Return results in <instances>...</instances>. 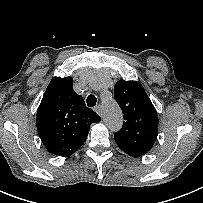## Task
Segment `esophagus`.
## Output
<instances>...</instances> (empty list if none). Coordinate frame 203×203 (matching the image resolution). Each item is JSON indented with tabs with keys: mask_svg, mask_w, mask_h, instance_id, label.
Returning <instances> with one entry per match:
<instances>
[{
	"mask_svg": "<svg viewBox=\"0 0 203 203\" xmlns=\"http://www.w3.org/2000/svg\"><path fill=\"white\" fill-rule=\"evenodd\" d=\"M95 112L102 117V107L100 105L95 107Z\"/></svg>",
	"mask_w": 203,
	"mask_h": 203,
	"instance_id": "34e87169",
	"label": "esophagus"
}]
</instances>
